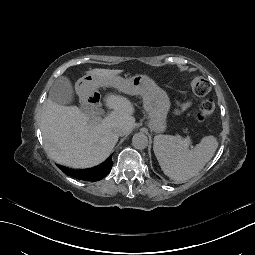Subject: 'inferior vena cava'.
Here are the masks:
<instances>
[{"mask_svg": "<svg viewBox=\"0 0 255 255\" xmlns=\"http://www.w3.org/2000/svg\"><path fill=\"white\" fill-rule=\"evenodd\" d=\"M113 131L118 135V136H124L128 132V128L123 125V124H117L113 127Z\"/></svg>", "mask_w": 255, "mask_h": 255, "instance_id": "obj_1", "label": "inferior vena cava"}]
</instances>
